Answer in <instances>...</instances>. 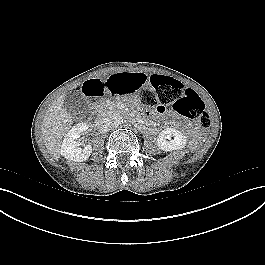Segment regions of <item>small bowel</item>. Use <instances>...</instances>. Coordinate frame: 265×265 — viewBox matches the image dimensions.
Masks as SVG:
<instances>
[{
	"instance_id": "obj_1",
	"label": "small bowel",
	"mask_w": 265,
	"mask_h": 265,
	"mask_svg": "<svg viewBox=\"0 0 265 265\" xmlns=\"http://www.w3.org/2000/svg\"><path fill=\"white\" fill-rule=\"evenodd\" d=\"M147 81L144 71L135 70L128 75L120 73L106 78L90 79L84 84L83 90L90 97L101 96L104 91L109 93H130L134 88H142ZM156 114L164 118L171 115L165 109L157 110ZM150 116H154V113H151Z\"/></svg>"
}]
</instances>
